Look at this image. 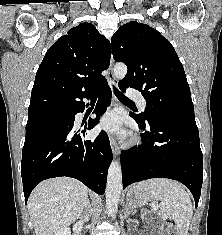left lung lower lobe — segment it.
Masks as SVG:
<instances>
[{
	"mask_svg": "<svg viewBox=\"0 0 222 235\" xmlns=\"http://www.w3.org/2000/svg\"><path fill=\"white\" fill-rule=\"evenodd\" d=\"M130 116L145 132L141 146L121 152L123 189L150 178H169L188 187L197 207L203 182L197 125L165 116L147 118L146 122L135 114Z\"/></svg>",
	"mask_w": 222,
	"mask_h": 235,
	"instance_id": "1",
	"label": "left lung lower lobe"
}]
</instances>
